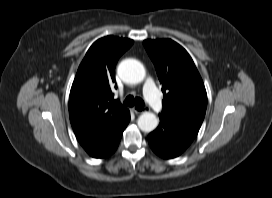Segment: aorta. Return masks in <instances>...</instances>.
<instances>
[{
	"label": "aorta",
	"mask_w": 272,
	"mask_h": 198,
	"mask_svg": "<svg viewBox=\"0 0 272 198\" xmlns=\"http://www.w3.org/2000/svg\"><path fill=\"white\" fill-rule=\"evenodd\" d=\"M118 75L127 83H140L144 80L146 72L142 63L135 59H125L118 66ZM138 127L144 132L156 129L158 119L155 114L145 112L138 118Z\"/></svg>",
	"instance_id": "1"
}]
</instances>
